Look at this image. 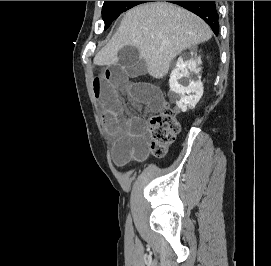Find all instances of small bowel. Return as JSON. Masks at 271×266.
I'll return each instance as SVG.
<instances>
[{
  "label": "small bowel",
  "mask_w": 271,
  "mask_h": 266,
  "mask_svg": "<svg viewBox=\"0 0 271 266\" xmlns=\"http://www.w3.org/2000/svg\"><path fill=\"white\" fill-rule=\"evenodd\" d=\"M146 72V65L128 54L124 62L105 66L93 80L102 121L114 139L113 160L117 166L142 161L148 153L146 122L137 116L123 120L125 108L120 96L125 93L136 107L157 110L163 101L160 90L147 82L132 81Z\"/></svg>",
  "instance_id": "c3829d8e"
}]
</instances>
